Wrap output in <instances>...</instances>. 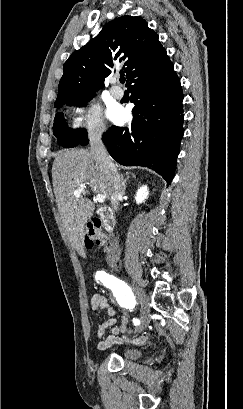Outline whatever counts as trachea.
Instances as JSON below:
<instances>
[{
    "mask_svg": "<svg viewBox=\"0 0 243 409\" xmlns=\"http://www.w3.org/2000/svg\"><path fill=\"white\" fill-rule=\"evenodd\" d=\"M125 80H126L125 77L122 75V76L120 77V82H121V83H124Z\"/></svg>",
    "mask_w": 243,
    "mask_h": 409,
    "instance_id": "obj_1",
    "label": "trachea"
}]
</instances>
